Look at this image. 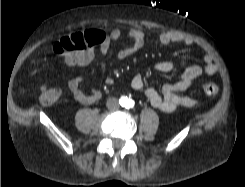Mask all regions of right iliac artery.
I'll return each instance as SVG.
<instances>
[{
	"label": "right iliac artery",
	"mask_w": 245,
	"mask_h": 187,
	"mask_svg": "<svg viewBox=\"0 0 245 187\" xmlns=\"http://www.w3.org/2000/svg\"><path fill=\"white\" fill-rule=\"evenodd\" d=\"M125 101H126V99L125 98H122L120 102H121V104L124 105L125 104Z\"/></svg>",
	"instance_id": "1"
}]
</instances>
